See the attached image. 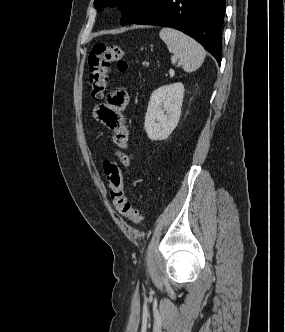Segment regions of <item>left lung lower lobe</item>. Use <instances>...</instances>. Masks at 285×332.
<instances>
[{"mask_svg": "<svg viewBox=\"0 0 285 332\" xmlns=\"http://www.w3.org/2000/svg\"><path fill=\"white\" fill-rule=\"evenodd\" d=\"M225 0H157L134 23L175 28L198 41L221 63Z\"/></svg>", "mask_w": 285, "mask_h": 332, "instance_id": "obj_1", "label": "left lung lower lobe"}]
</instances>
